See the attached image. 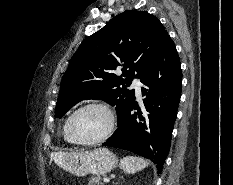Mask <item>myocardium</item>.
<instances>
[{
    "instance_id": "f54148a6",
    "label": "myocardium",
    "mask_w": 233,
    "mask_h": 185,
    "mask_svg": "<svg viewBox=\"0 0 233 185\" xmlns=\"http://www.w3.org/2000/svg\"><path fill=\"white\" fill-rule=\"evenodd\" d=\"M89 108H99V109L104 110L109 117V126H108L107 130L102 135H100L96 138H93V139L82 140V139H79L75 136V134L72 130V123H73L74 117L79 112H81L85 109H89ZM115 127H116V118H115L114 112L107 104L102 103V102L95 101V102H89L87 104H84V105L80 106L79 108H77L76 110H74L67 119L68 136L70 137V139L74 143L80 144V145H94V144H98V143H101V142L107 140L114 133Z\"/></svg>"
}]
</instances>
